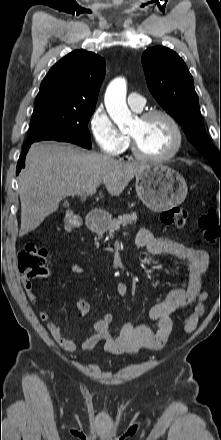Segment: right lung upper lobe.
Masks as SVG:
<instances>
[{
	"label": "right lung upper lobe",
	"instance_id": "1",
	"mask_svg": "<svg viewBox=\"0 0 221 440\" xmlns=\"http://www.w3.org/2000/svg\"><path fill=\"white\" fill-rule=\"evenodd\" d=\"M105 76V61L95 53L75 50L57 62L43 79L36 103L56 101L95 107Z\"/></svg>",
	"mask_w": 221,
	"mask_h": 440
}]
</instances>
